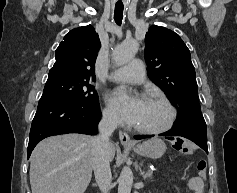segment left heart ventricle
Segmentation results:
<instances>
[{
  "label": "left heart ventricle",
  "instance_id": "left-heart-ventricle-1",
  "mask_svg": "<svg viewBox=\"0 0 237 193\" xmlns=\"http://www.w3.org/2000/svg\"><path fill=\"white\" fill-rule=\"evenodd\" d=\"M168 118L165 106L155 100H145L134 125L145 128L163 126Z\"/></svg>",
  "mask_w": 237,
  "mask_h": 193
}]
</instances>
